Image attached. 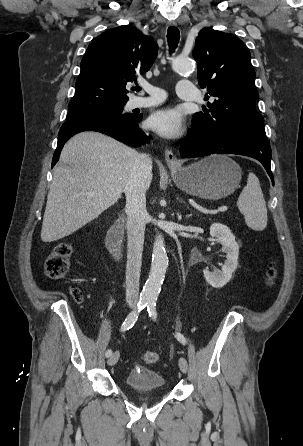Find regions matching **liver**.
I'll return each instance as SVG.
<instances>
[{"label":"liver","mask_w":303,"mask_h":446,"mask_svg":"<svg viewBox=\"0 0 303 446\" xmlns=\"http://www.w3.org/2000/svg\"><path fill=\"white\" fill-rule=\"evenodd\" d=\"M137 151L95 132L72 137L54 168L41 240L53 242L76 232L118 201ZM152 173L149 178L150 185Z\"/></svg>","instance_id":"1"}]
</instances>
